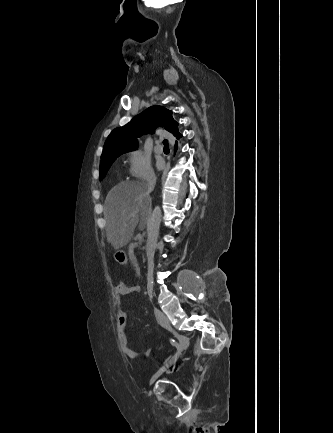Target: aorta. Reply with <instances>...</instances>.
<instances>
[{
  "label": "aorta",
  "instance_id": "aorta-1",
  "mask_svg": "<svg viewBox=\"0 0 333 433\" xmlns=\"http://www.w3.org/2000/svg\"><path fill=\"white\" fill-rule=\"evenodd\" d=\"M161 207L159 205L155 206L150 219L147 222V243H146V255L147 258H153L155 253V248L157 245L159 228L161 223Z\"/></svg>",
  "mask_w": 333,
  "mask_h": 433
}]
</instances>
